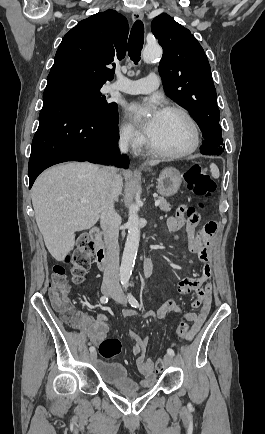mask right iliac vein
I'll use <instances>...</instances> for the list:
<instances>
[{"label":"right iliac vein","mask_w":265,"mask_h":434,"mask_svg":"<svg viewBox=\"0 0 265 434\" xmlns=\"http://www.w3.org/2000/svg\"><path fill=\"white\" fill-rule=\"evenodd\" d=\"M101 291L104 295H110L114 291V288H112L111 286L105 285V286H102ZM96 357H97L96 351L91 352L89 354V360L90 361H94L96 359Z\"/></svg>","instance_id":"right-iliac-vein-1"}]
</instances>
